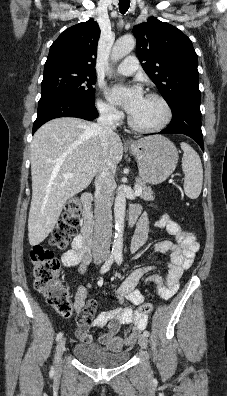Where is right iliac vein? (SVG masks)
I'll return each instance as SVG.
<instances>
[{
  "mask_svg": "<svg viewBox=\"0 0 227 396\" xmlns=\"http://www.w3.org/2000/svg\"><path fill=\"white\" fill-rule=\"evenodd\" d=\"M65 344H66L65 338L60 339L57 344L56 354H55V363H56L57 367H60V365H61L62 355H63V352L65 351Z\"/></svg>",
  "mask_w": 227,
  "mask_h": 396,
  "instance_id": "obj_1",
  "label": "right iliac vein"
}]
</instances>
